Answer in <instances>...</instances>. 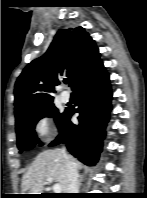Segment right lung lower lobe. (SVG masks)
I'll return each instance as SVG.
<instances>
[{
    "label": "right lung lower lobe",
    "instance_id": "98d812e1",
    "mask_svg": "<svg viewBox=\"0 0 147 198\" xmlns=\"http://www.w3.org/2000/svg\"><path fill=\"white\" fill-rule=\"evenodd\" d=\"M80 103L77 109L68 108L60 134L50 146L66 143L68 150L81 162L93 166L99 159L105 127L111 111L112 92L108 73L101 62L74 88ZM79 124L70 121L75 113Z\"/></svg>",
    "mask_w": 147,
    "mask_h": 198
}]
</instances>
